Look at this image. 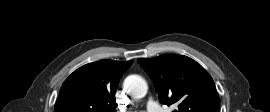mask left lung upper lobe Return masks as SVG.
Returning a JSON list of instances; mask_svg holds the SVG:
<instances>
[{
    "mask_svg": "<svg viewBox=\"0 0 270 112\" xmlns=\"http://www.w3.org/2000/svg\"><path fill=\"white\" fill-rule=\"evenodd\" d=\"M154 81L159 100L173 112H220L215 84L207 71L183 55L138 59Z\"/></svg>",
    "mask_w": 270,
    "mask_h": 112,
    "instance_id": "1",
    "label": "left lung upper lobe"
}]
</instances>
